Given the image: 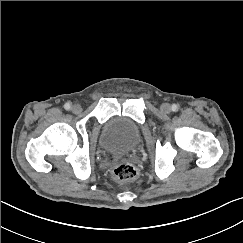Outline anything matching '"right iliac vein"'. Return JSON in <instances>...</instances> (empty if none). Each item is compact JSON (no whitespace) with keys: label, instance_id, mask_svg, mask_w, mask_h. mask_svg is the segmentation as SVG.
<instances>
[{"label":"right iliac vein","instance_id":"1","mask_svg":"<svg viewBox=\"0 0 243 243\" xmlns=\"http://www.w3.org/2000/svg\"><path fill=\"white\" fill-rule=\"evenodd\" d=\"M72 112L75 114H79L82 111V108L79 104H74L71 108Z\"/></svg>","mask_w":243,"mask_h":243}]
</instances>
